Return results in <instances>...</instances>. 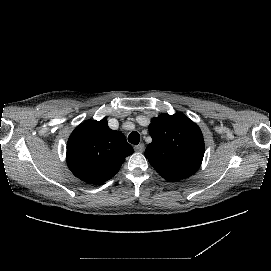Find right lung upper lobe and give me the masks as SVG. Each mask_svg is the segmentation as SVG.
<instances>
[{
  "instance_id": "right-lung-upper-lobe-1",
  "label": "right lung upper lobe",
  "mask_w": 271,
  "mask_h": 271,
  "mask_svg": "<svg viewBox=\"0 0 271 271\" xmlns=\"http://www.w3.org/2000/svg\"><path fill=\"white\" fill-rule=\"evenodd\" d=\"M134 152L120 131L111 130L107 120H89L72 132L67 143V164L80 180L99 184L111 179Z\"/></svg>"
}]
</instances>
